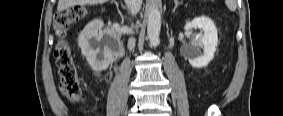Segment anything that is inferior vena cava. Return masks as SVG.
<instances>
[{
    "label": "inferior vena cava",
    "instance_id": "602c4592",
    "mask_svg": "<svg viewBox=\"0 0 283 116\" xmlns=\"http://www.w3.org/2000/svg\"><path fill=\"white\" fill-rule=\"evenodd\" d=\"M127 8L131 15H136L140 9L142 0H126Z\"/></svg>",
    "mask_w": 283,
    "mask_h": 116
}]
</instances>
